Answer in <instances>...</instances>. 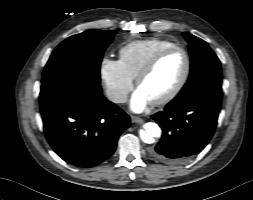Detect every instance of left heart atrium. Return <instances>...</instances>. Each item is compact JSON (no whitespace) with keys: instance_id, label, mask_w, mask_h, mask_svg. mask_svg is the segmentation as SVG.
I'll use <instances>...</instances> for the list:
<instances>
[{"instance_id":"1","label":"left heart atrium","mask_w":253,"mask_h":200,"mask_svg":"<svg viewBox=\"0 0 253 200\" xmlns=\"http://www.w3.org/2000/svg\"><path fill=\"white\" fill-rule=\"evenodd\" d=\"M150 104H152L151 100L138 88L132 95L130 108L132 111L140 113Z\"/></svg>"}]
</instances>
